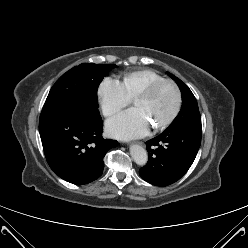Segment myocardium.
I'll return each mask as SVG.
<instances>
[{"instance_id":"obj_1","label":"myocardium","mask_w":248,"mask_h":248,"mask_svg":"<svg viewBox=\"0 0 248 248\" xmlns=\"http://www.w3.org/2000/svg\"><path fill=\"white\" fill-rule=\"evenodd\" d=\"M161 84H171L174 87V89L176 91V95H177V104H176V108H175L174 112L171 114V116L169 118H167L165 121L155 125V127L158 129H163V128H166L169 125H171L176 120L178 115L180 114V111L182 108V93H181V90H180L179 86L177 85V83L175 81H173L172 79H167V78L159 79V80L154 81L151 84H149L144 90H142L134 98L135 104L139 101L146 100L147 98H149L153 94L155 89Z\"/></svg>"}]
</instances>
